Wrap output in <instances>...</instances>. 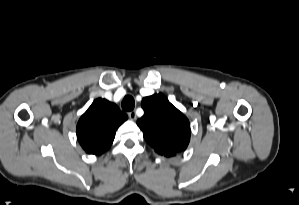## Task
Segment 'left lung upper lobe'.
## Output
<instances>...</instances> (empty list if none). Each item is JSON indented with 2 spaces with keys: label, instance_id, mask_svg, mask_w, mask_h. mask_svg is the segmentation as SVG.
<instances>
[{
  "label": "left lung upper lobe",
  "instance_id": "1",
  "mask_svg": "<svg viewBox=\"0 0 299 205\" xmlns=\"http://www.w3.org/2000/svg\"><path fill=\"white\" fill-rule=\"evenodd\" d=\"M144 115L137 125L145 140L160 154L170 157L186 149L190 141L188 119L162 93L145 97Z\"/></svg>",
  "mask_w": 299,
  "mask_h": 205
}]
</instances>
